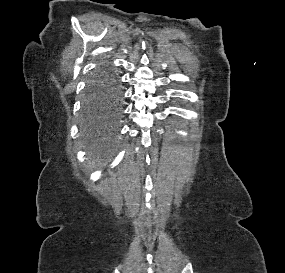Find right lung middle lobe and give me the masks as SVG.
Wrapping results in <instances>:
<instances>
[{"mask_svg": "<svg viewBox=\"0 0 285 273\" xmlns=\"http://www.w3.org/2000/svg\"><path fill=\"white\" fill-rule=\"evenodd\" d=\"M116 83V75L107 67H101L87 83L84 98V127L87 132L98 131L108 117L113 119L119 117V108L115 105V100L110 109H105L107 102L117 95Z\"/></svg>", "mask_w": 285, "mask_h": 273, "instance_id": "right-lung-middle-lobe-1", "label": "right lung middle lobe"}]
</instances>
